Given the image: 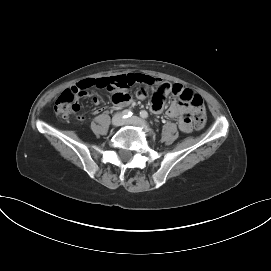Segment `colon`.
<instances>
[{
  "label": "colon",
  "mask_w": 271,
  "mask_h": 271,
  "mask_svg": "<svg viewBox=\"0 0 271 271\" xmlns=\"http://www.w3.org/2000/svg\"><path fill=\"white\" fill-rule=\"evenodd\" d=\"M91 86L92 85L89 84L80 86L75 85L71 89L65 90L55 102V112L63 118H68L71 114L78 112L80 109L78 97L83 94L86 88ZM180 100L196 109V113L193 118L194 126L196 129H202L205 124V111L201 96L193 93H187L184 94Z\"/></svg>",
  "instance_id": "obj_1"
}]
</instances>
